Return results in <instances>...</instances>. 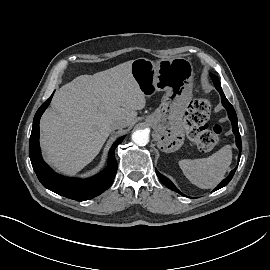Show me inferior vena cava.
Segmentation results:
<instances>
[{
    "mask_svg": "<svg viewBox=\"0 0 270 270\" xmlns=\"http://www.w3.org/2000/svg\"><path fill=\"white\" fill-rule=\"evenodd\" d=\"M126 126V122L123 120H116L112 123V129H122Z\"/></svg>",
    "mask_w": 270,
    "mask_h": 270,
    "instance_id": "inferior-vena-cava-1",
    "label": "inferior vena cava"
}]
</instances>
